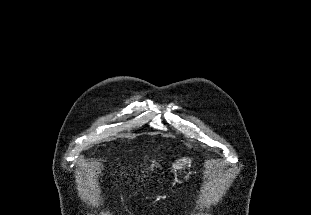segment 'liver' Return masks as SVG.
I'll return each mask as SVG.
<instances>
[{"instance_id": "obj_1", "label": "liver", "mask_w": 311, "mask_h": 215, "mask_svg": "<svg viewBox=\"0 0 311 215\" xmlns=\"http://www.w3.org/2000/svg\"><path fill=\"white\" fill-rule=\"evenodd\" d=\"M156 164H155V162L153 161L152 162V165H151V170H153V167L155 166Z\"/></svg>"}]
</instances>
